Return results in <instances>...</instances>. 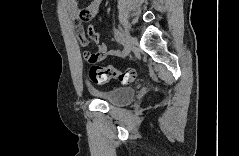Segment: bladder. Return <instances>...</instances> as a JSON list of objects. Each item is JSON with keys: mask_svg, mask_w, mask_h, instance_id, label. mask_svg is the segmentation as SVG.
Wrapping results in <instances>:
<instances>
[{"mask_svg": "<svg viewBox=\"0 0 239 156\" xmlns=\"http://www.w3.org/2000/svg\"><path fill=\"white\" fill-rule=\"evenodd\" d=\"M90 92L97 98L118 106L131 103L136 94L135 89L130 86L114 87L105 91L90 89Z\"/></svg>", "mask_w": 239, "mask_h": 156, "instance_id": "1", "label": "bladder"}]
</instances>
